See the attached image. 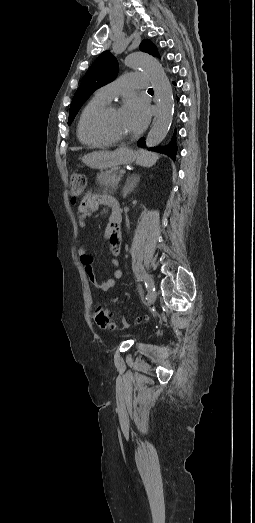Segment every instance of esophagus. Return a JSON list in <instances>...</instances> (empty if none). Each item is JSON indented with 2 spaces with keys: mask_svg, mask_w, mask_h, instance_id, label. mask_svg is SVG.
Masks as SVG:
<instances>
[{
  "mask_svg": "<svg viewBox=\"0 0 255 523\" xmlns=\"http://www.w3.org/2000/svg\"><path fill=\"white\" fill-rule=\"evenodd\" d=\"M155 104H156L157 109H156V113H155L153 122L156 120V118H157V116L159 114V102H158L157 99H155Z\"/></svg>",
  "mask_w": 255,
  "mask_h": 523,
  "instance_id": "1",
  "label": "esophagus"
}]
</instances>
